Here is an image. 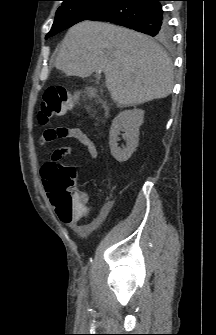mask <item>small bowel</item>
<instances>
[{
    "mask_svg": "<svg viewBox=\"0 0 216 335\" xmlns=\"http://www.w3.org/2000/svg\"><path fill=\"white\" fill-rule=\"evenodd\" d=\"M72 138L77 140L82 144L88 153L90 159H96L98 155V150L95 143L85 134L80 128H68V127H58L54 129H49L45 132L44 136L40 138L42 144L59 140ZM62 156L58 155V150L55 151L51 158L42 166L41 178L45 189L49 192L51 187L50 182V172L53 166L45 169V165L49 163L50 160L54 162H60ZM74 199L78 204L77 209L66 217L62 218L61 214H58L60 219L69 226L75 232L86 236L91 231L99 227L103 222V217L99 214L95 217H91L88 196L85 192L77 190L74 194Z\"/></svg>",
    "mask_w": 216,
    "mask_h": 335,
    "instance_id": "1",
    "label": "small bowel"
}]
</instances>
